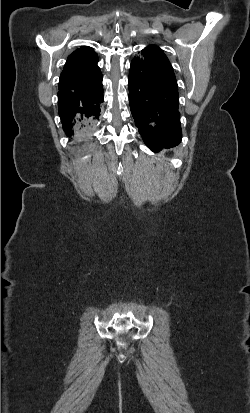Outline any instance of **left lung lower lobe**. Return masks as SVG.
<instances>
[{
    "label": "left lung lower lobe",
    "instance_id": "0a47b994",
    "mask_svg": "<svg viewBox=\"0 0 250 413\" xmlns=\"http://www.w3.org/2000/svg\"><path fill=\"white\" fill-rule=\"evenodd\" d=\"M131 113L145 144L157 153L181 141L178 85L172 66L157 46L144 48L131 62Z\"/></svg>",
    "mask_w": 250,
    "mask_h": 413
}]
</instances>
